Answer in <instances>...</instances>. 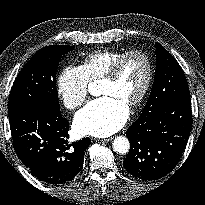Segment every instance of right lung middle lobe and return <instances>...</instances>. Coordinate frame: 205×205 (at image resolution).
Instances as JSON below:
<instances>
[{"label": "right lung middle lobe", "instance_id": "right-lung-middle-lobe-1", "mask_svg": "<svg viewBox=\"0 0 205 205\" xmlns=\"http://www.w3.org/2000/svg\"><path fill=\"white\" fill-rule=\"evenodd\" d=\"M74 47L46 46L39 49L24 65L13 83L8 106L31 104L61 114L56 88L58 64Z\"/></svg>", "mask_w": 205, "mask_h": 205}]
</instances>
